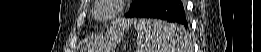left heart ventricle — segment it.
Returning a JSON list of instances; mask_svg holds the SVG:
<instances>
[{
	"instance_id": "1",
	"label": "left heart ventricle",
	"mask_w": 261,
	"mask_h": 52,
	"mask_svg": "<svg viewBox=\"0 0 261 52\" xmlns=\"http://www.w3.org/2000/svg\"><path fill=\"white\" fill-rule=\"evenodd\" d=\"M110 13V9L109 8H104V9H101L100 11H99V16H107L108 14Z\"/></svg>"
}]
</instances>
